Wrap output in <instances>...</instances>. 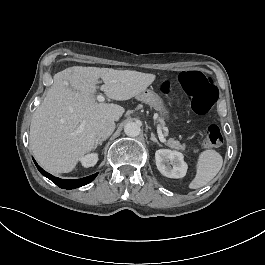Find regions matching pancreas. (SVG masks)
Returning a JSON list of instances; mask_svg holds the SVG:
<instances>
[{"mask_svg": "<svg viewBox=\"0 0 265 265\" xmlns=\"http://www.w3.org/2000/svg\"><path fill=\"white\" fill-rule=\"evenodd\" d=\"M158 121H161V118H158ZM167 144L174 150H184L185 153H188L189 150L186 149V144H181L178 140L168 139ZM199 148H194L193 152H198Z\"/></svg>", "mask_w": 265, "mask_h": 265, "instance_id": "cf45deb5", "label": "pancreas"}]
</instances>
